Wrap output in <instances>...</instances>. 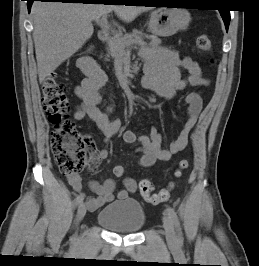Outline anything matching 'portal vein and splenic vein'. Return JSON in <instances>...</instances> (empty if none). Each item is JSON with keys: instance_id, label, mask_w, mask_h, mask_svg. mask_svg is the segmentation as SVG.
I'll return each mask as SVG.
<instances>
[{"instance_id": "18ae733b", "label": "portal vein and splenic vein", "mask_w": 259, "mask_h": 266, "mask_svg": "<svg viewBox=\"0 0 259 266\" xmlns=\"http://www.w3.org/2000/svg\"><path fill=\"white\" fill-rule=\"evenodd\" d=\"M96 22L99 23L100 27L104 28V29H107L109 30L110 29V25L108 24V20H107V15H103L101 17V19H95ZM114 32V31H113ZM114 34H116L114 32ZM136 45H139V46H145V43L143 41H136L134 42Z\"/></svg>"}]
</instances>
